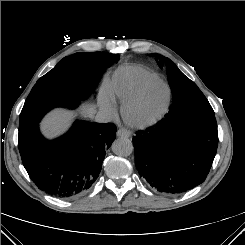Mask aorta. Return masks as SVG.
<instances>
[{
  "label": "aorta",
  "instance_id": "762f6f07",
  "mask_svg": "<svg viewBox=\"0 0 245 245\" xmlns=\"http://www.w3.org/2000/svg\"><path fill=\"white\" fill-rule=\"evenodd\" d=\"M112 151L118 156H129L133 152V144L127 138L116 139L112 144Z\"/></svg>",
  "mask_w": 245,
  "mask_h": 245
}]
</instances>
